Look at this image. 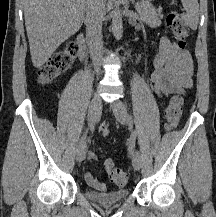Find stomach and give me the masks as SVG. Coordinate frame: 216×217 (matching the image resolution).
<instances>
[{
    "label": "stomach",
    "instance_id": "obj_1",
    "mask_svg": "<svg viewBox=\"0 0 216 217\" xmlns=\"http://www.w3.org/2000/svg\"><path fill=\"white\" fill-rule=\"evenodd\" d=\"M150 1H152V0H147V2H150Z\"/></svg>",
    "mask_w": 216,
    "mask_h": 217
}]
</instances>
